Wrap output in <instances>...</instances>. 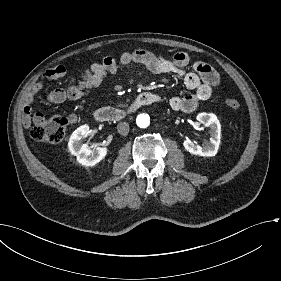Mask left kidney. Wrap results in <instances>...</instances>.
Instances as JSON below:
<instances>
[{"instance_id":"1","label":"left kidney","mask_w":281,"mask_h":281,"mask_svg":"<svg viewBox=\"0 0 281 281\" xmlns=\"http://www.w3.org/2000/svg\"><path fill=\"white\" fill-rule=\"evenodd\" d=\"M196 119L210 128V140L203 146L194 144L191 140L187 139L183 145L191 154L199 156H215L217 154L220 139H221V125L217 116L213 113H199Z\"/></svg>"}]
</instances>
